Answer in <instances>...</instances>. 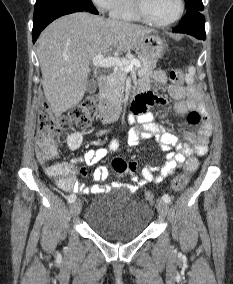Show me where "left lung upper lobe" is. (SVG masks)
Wrapping results in <instances>:
<instances>
[{"instance_id":"1","label":"left lung upper lobe","mask_w":233,"mask_h":284,"mask_svg":"<svg viewBox=\"0 0 233 284\" xmlns=\"http://www.w3.org/2000/svg\"><path fill=\"white\" fill-rule=\"evenodd\" d=\"M185 2L187 11L182 22H187L199 17L201 14L200 12L203 11L204 8L202 0H185Z\"/></svg>"}]
</instances>
